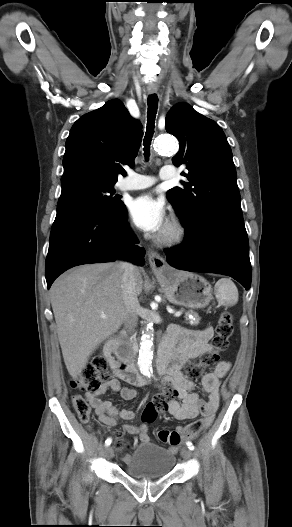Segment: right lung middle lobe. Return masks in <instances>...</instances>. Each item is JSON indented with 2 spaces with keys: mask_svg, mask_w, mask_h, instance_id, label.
Listing matches in <instances>:
<instances>
[{
  "mask_svg": "<svg viewBox=\"0 0 292 527\" xmlns=\"http://www.w3.org/2000/svg\"><path fill=\"white\" fill-rule=\"evenodd\" d=\"M61 184L57 207L65 203L82 204L112 217L120 215L125 209L124 203L114 196V184L85 177L72 178Z\"/></svg>",
  "mask_w": 292,
  "mask_h": 527,
  "instance_id": "obj_1",
  "label": "right lung middle lobe"
}]
</instances>
